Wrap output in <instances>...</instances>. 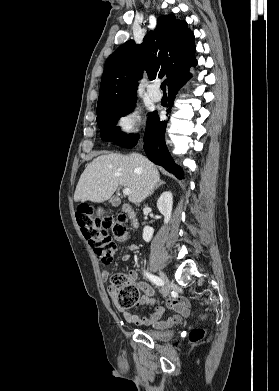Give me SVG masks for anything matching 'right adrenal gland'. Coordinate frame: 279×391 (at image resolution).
<instances>
[{
    "mask_svg": "<svg viewBox=\"0 0 279 391\" xmlns=\"http://www.w3.org/2000/svg\"><path fill=\"white\" fill-rule=\"evenodd\" d=\"M163 184H165V182H164L163 180H160L159 183L154 187V189L152 190V192L150 193V195L154 193V190H156L157 188H159V187L162 186Z\"/></svg>",
    "mask_w": 279,
    "mask_h": 391,
    "instance_id": "right-adrenal-gland-1",
    "label": "right adrenal gland"
}]
</instances>
